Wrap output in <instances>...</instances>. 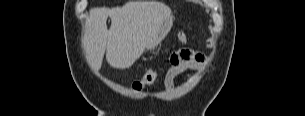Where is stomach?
Returning a JSON list of instances; mask_svg holds the SVG:
<instances>
[{
    "label": "stomach",
    "instance_id": "1",
    "mask_svg": "<svg viewBox=\"0 0 305 116\" xmlns=\"http://www.w3.org/2000/svg\"><path fill=\"white\" fill-rule=\"evenodd\" d=\"M173 26V19L172 17H169L163 21V23L160 25V28L152 41L146 46L147 51L154 50L166 37V35L170 32L171 28Z\"/></svg>",
    "mask_w": 305,
    "mask_h": 116
}]
</instances>
